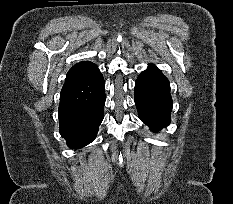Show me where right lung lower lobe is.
<instances>
[{
    "mask_svg": "<svg viewBox=\"0 0 233 204\" xmlns=\"http://www.w3.org/2000/svg\"><path fill=\"white\" fill-rule=\"evenodd\" d=\"M105 82L98 67L65 81L60 93L59 131L70 148L91 143L103 120Z\"/></svg>",
    "mask_w": 233,
    "mask_h": 204,
    "instance_id": "obj_1",
    "label": "right lung lower lobe"
}]
</instances>
